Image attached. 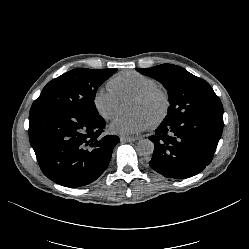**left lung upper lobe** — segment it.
Returning a JSON list of instances; mask_svg holds the SVG:
<instances>
[{
  "mask_svg": "<svg viewBox=\"0 0 249 249\" xmlns=\"http://www.w3.org/2000/svg\"><path fill=\"white\" fill-rule=\"evenodd\" d=\"M137 71L156 79L168 90L170 106L166 122L184 116L223 113L222 103L212 87L182 67L162 64Z\"/></svg>",
  "mask_w": 249,
  "mask_h": 249,
  "instance_id": "left-lung-upper-lobe-1",
  "label": "left lung upper lobe"
}]
</instances>
